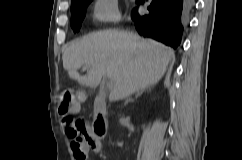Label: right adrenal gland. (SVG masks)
<instances>
[{
    "label": "right adrenal gland",
    "instance_id": "obj_1",
    "mask_svg": "<svg viewBox=\"0 0 242 160\" xmlns=\"http://www.w3.org/2000/svg\"><path fill=\"white\" fill-rule=\"evenodd\" d=\"M142 93H143V90H138V91L135 93L134 98H129V99H127V100L125 101V105H126L129 101H131V100L137 98L138 96H140Z\"/></svg>",
    "mask_w": 242,
    "mask_h": 160
}]
</instances>
